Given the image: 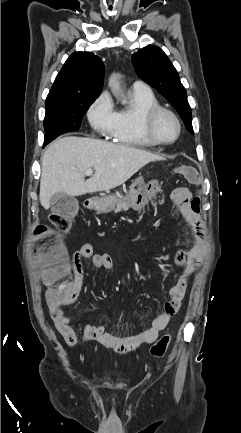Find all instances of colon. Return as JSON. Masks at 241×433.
Segmentation results:
<instances>
[{
  "label": "colon",
  "instance_id": "obj_1",
  "mask_svg": "<svg viewBox=\"0 0 241 433\" xmlns=\"http://www.w3.org/2000/svg\"><path fill=\"white\" fill-rule=\"evenodd\" d=\"M179 177H188V182L198 184L201 178L196 174L194 168H179ZM193 209H199V197L193 201ZM53 220L58 226L65 230L69 224L68 214H77L78 207L76 200H57L53 205ZM35 252L41 273L45 283L48 285L47 301L50 306H58L68 299L73 291V285L67 276L68 260L65 255V245L59 235L48 228L40 229L37 234ZM180 287L187 285V280L182 279ZM113 323V320H110ZM171 336L163 335L150 349L151 356L155 358L163 357L170 345ZM111 345L121 350L126 347L125 342H111Z\"/></svg>",
  "mask_w": 241,
  "mask_h": 433
}]
</instances>
